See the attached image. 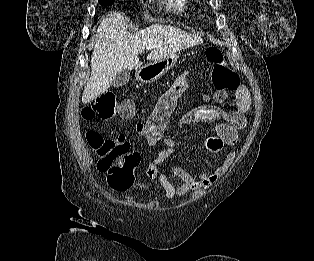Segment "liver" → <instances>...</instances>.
<instances>
[{"mask_svg": "<svg viewBox=\"0 0 314 261\" xmlns=\"http://www.w3.org/2000/svg\"><path fill=\"white\" fill-rule=\"evenodd\" d=\"M201 43L202 39L195 35L162 24L131 34L120 12H108L96 33L91 76L82 94V103H89L106 92L120 71L140 68L142 62L138 55L143 48H150L148 60L157 61Z\"/></svg>", "mask_w": 314, "mask_h": 261, "instance_id": "1", "label": "liver"}]
</instances>
